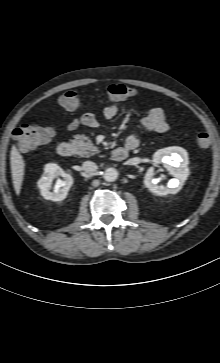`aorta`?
I'll list each match as a JSON object with an SVG mask.
<instances>
[{"label": "aorta", "mask_w": 220, "mask_h": 363, "mask_svg": "<svg viewBox=\"0 0 220 363\" xmlns=\"http://www.w3.org/2000/svg\"><path fill=\"white\" fill-rule=\"evenodd\" d=\"M118 177V171L115 168H107L104 171L103 178L107 182H114Z\"/></svg>", "instance_id": "762f6f07"}]
</instances>
